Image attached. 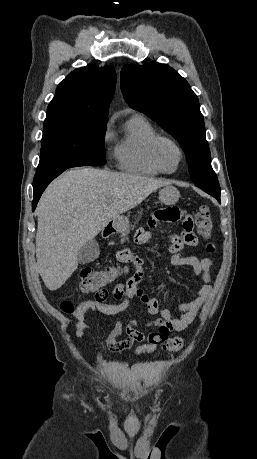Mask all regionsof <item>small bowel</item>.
I'll return each instance as SVG.
<instances>
[{"label": "small bowel", "mask_w": 257, "mask_h": 459, "mask_svg": "<svg viewBox=\"0 0 257 459\" xmlns=\"http://www.w3.org/2000/svg\"><path fill=\"white\" fill-rule=\"evenodd\" d=\"M145 222L147 226H175L176 222H183V232H175L167 237L169 243L166 246V256L170 257L173 266L190 268L189 277H202L205 284L191 292L193 298L190 301L177 306L179 315L174 317L170 308L161 306L157 297L147 294L139 287L142 264L153 261L154 253L146 252L145 249H133L132 246H121L116 251L117 264H135V272L125 283L115 285L113 294L119 303H107L94 297L78 304L72 313L73 318L77 320L75 325L77 338L83 337L87 330L94 328L87 321L89 313L116 315L127 310L132 300L138 299L148 314L158 316L147 324L155 330L145 334L139 330V323L135 320L126 325L117 321L106 339V347L109 351L119 352L128 350L135 342H139L142 344L135 349V355L142 356L153 353L159 344L168 339L172 331L180 332L186 329L199 314L212 290L210 282L213 262L208 257L184 255V247H196L198 243L189 205H156L154 213H147ZM149 232L148 227H135L132 244H151ZM212 251L213 247L208 245L206 252ZM123 333H126L125 339H121Z\"/></svg>", "instance_id": "small-bowel-1"}]
</instances>
